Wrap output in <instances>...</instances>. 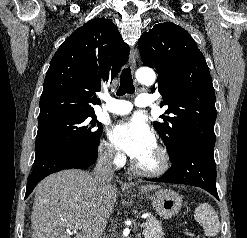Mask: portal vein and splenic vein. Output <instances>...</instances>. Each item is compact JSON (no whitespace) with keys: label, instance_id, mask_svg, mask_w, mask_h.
<instances>
[{"label":"portal vein and splenic vein","instance_id":"1","mask_svg":"<svg viewBox=\"0 0 247 238\" xmlns=\"http://www.w3.org/2000/svg\"><path fill=\"white\" fill-rule=\"evenodd\" d=\"M146 224H147L146 222H143V223L141 224V227H144ZM74 227H75V228H80L81 225H76V226H74Z\"/></svg>","mask_w":247,"mask_h":238}]
</instances>
